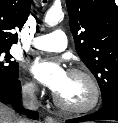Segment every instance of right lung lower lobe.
Instances as JSON below:
<instances>
[{
    "mask_svg": "<svg viewBox=\"0 0 118 123\" xmlns=\"http://www.w3.org/2000/svg\"><path fill=\"white\" fill-rule=\"evenodd\" d=\"M21 98V84L17 79L15 81H0V102L16 104ZM25 114L33 119L38 118V113L25 111Z\"/></svg>",
    "mask_w": 118,
    "mask_h": 123,
    "instance_id": "98d812e1",
    "label": "right lung lower lobe"
}]
</instances>
